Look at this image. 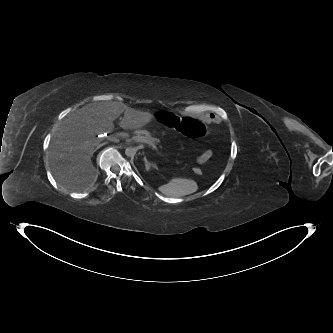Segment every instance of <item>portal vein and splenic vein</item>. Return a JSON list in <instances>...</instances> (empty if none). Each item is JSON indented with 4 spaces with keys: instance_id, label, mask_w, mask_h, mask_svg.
Segmentation results:
<instances>
[{
    "instance_id": "obj_1",
    "label": "portal vein and splenic vein",
    "mask_w": 333,
    "mask_h": 333,
    "mask_svg": "<svg viewBox=\"0 0 333 333\" xmlns=\"http://www.w3.org/2000/svg\"><path fill=\"white\" fill-rule=\"evenodd\" d=\"M123 138H127L129 137L128 134H123L122 135ZM133 139L136 141V142H142V143H146V144H150L154 150L158 151L157 147L151 143L148 139H146L145 137H133Z\"/></svg>"
}]
</instances>
